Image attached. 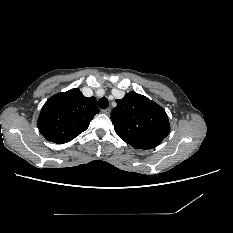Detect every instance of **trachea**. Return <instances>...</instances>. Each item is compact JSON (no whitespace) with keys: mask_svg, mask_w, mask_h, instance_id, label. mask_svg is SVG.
I'll return each mask as SVG.
<instances>
[{"mask_svg":"<svg viewBox=\"0 0 233 233\" xmlns=\"http://www.w3.org/2000/svg\"><path fill=\"white\" fill-rule=\"evenodd\" d=\"M98 106L101 109H106L109 106V101L106 97H102L98 100Z\"/></svg>","mask_w":233,"mask_h":233,"instance_id":"3493384b","label":"trachea"}]
</instances>
